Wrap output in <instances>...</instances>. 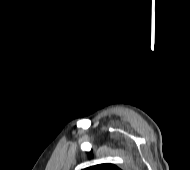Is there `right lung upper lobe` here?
Returning a JSON list of instances; mask_svg holds the SVG:
<instances>
[{"label": "right lung upper lobe", "mask_w": 190, "mask_h": 170, "mask_svg": "<svg viewBox=\"0 0 190 170\" xmlns=\"http://www.w3.org/2000/svg\"><path fill=\"white\" fill-rule=\"evenodd\" d=\"M84 170H121V169L115 166L114 164L105 163V164L91 166Z\"/></svg>", "instance_id": "right-lung-upper-lobe-1"}]
</instances>
